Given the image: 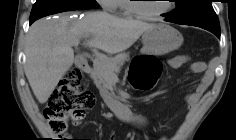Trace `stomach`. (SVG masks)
<instances>
[{
  "instance_id": "0dacf381",
  "label": "stomach",
  "mask_w": 236,
  "mask_h": 140,
  "mask_svg": "<svg viewBox=\"0 0 236 140\" xmlns=\"http://www.w3.org/2000/svg\"><path fill=\"white\" fill-rule=\"evenodd\" d=\"M143 55H164L177 50L183 43V36L174 27L159 23L142 35Z\"/></svg>"
}]
</instances>
